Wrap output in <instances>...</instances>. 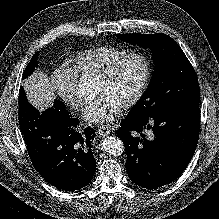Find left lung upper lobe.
I'll return each instance as SVG.
<instances>
[{"label": "left lung upper lobe", "mask_w": 219, "mask_h": 219, "mask_svg": "<svg viewBox=\"0 0 219 219\" xmlns=\"http://www.w3.org/2000/svg\"><path fill=\"white\" fill-rule=\"evenodd\" d=\"M117 37L151 48L156 65L147 90L129 111V117H156L199 104L196 73L181 47L170 36L157 33L117 34Z\"/></svg>", "instance_id": "left-lung-upper-lobe-1"}]
</instances>
